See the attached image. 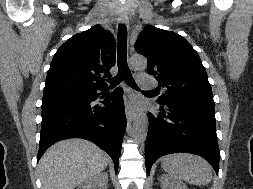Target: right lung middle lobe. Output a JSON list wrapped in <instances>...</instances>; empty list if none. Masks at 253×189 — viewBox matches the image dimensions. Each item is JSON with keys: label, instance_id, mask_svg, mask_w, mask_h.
<instances>
[{"label": "right lung middle lobe", "instance_id": "dd1d6c3e", "mask_svg": "<svg viewBox=\"0 0 253 189\" xmlns=\"http://www.w3.org/2000/svg\"><path fill=\"white\" fill-rule=\"evenodd\" d=\"M63 92H70V91H61V92H54V93H63ZM48 94H52V93H48ZM46 95V94H44Z\"/></svg>", "mask_w": 253, "mask_h": 189}]
</instances>
